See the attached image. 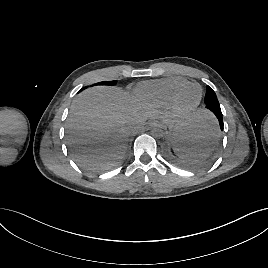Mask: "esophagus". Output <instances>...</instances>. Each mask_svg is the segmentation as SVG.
Segmentation results:
<instances>
[{"label": "esophagus", "mask_w": 268, "mask_h": 268, "mask_svg": "<svg viewBox=\"0 0 268 268\" xmlns=\"http://www.w3.org/2000/svg\"><path fill=\"white\" fill-rule=\"evenodd\" d=\"M160 125H161L160 121H158L156 119L150 121V123H149L150 127H157V126H160Z\"/></svg>", "instance_id": "1"}]
</instances>
